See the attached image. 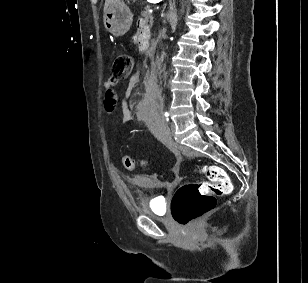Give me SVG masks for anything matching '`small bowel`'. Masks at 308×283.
I'll list each match as a JSON object with an SVG mask.
<instances>
[{"label": "small bowel", "mask_w": 308, "mask_h": 283, "mask_svg": "<svg viewBox=\"0 0 308 283\" xmlns=\"http://www.w3.org/2000/svg\"><path fill=\"white\" fill-rule=\"evenodd\" d=\"M148 30L144 21L140 20L138 22V32L134 36V41L139 43V36L142 31ZM138 81V76H133L130 79V85H134ZM105 97H104V107L107 113L111 114L114 112L118 103V94L114 89V84L110 81L104 83ZM122 106V122L124 124L130 122L133 119L132 110L135 111L136 117L140 120L147 118L149 114V103L146 100H141L133 105L127 102L126 97L121 101Z\"/></svg>", "instance_id": "c3829d8e"}]
</instances>
